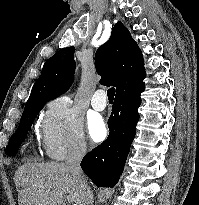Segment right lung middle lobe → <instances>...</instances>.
I'll return each mask as SVG.
<instances>
[{
    "label": "right lung middle lobe",
    "instance_id": "dd1d6c3e",
    "mask_svg": "<svg viewBox=\"0 0 199 205\" xmlns=\"http://www.w3.org/2000/svg\"><path fill=\"white\" fill-rule=\"evenodd\" d=\"M48 99L34 100L25 105L20 123L16 132L10 138V141L6 147L5 154L9 156L16 155L18 153L19 146L26 137L30 126L32 125L35 117L46 104Z\"/></svg>",
    "mask_w": 199,
    "mask_h": 205
}]
</instances>
